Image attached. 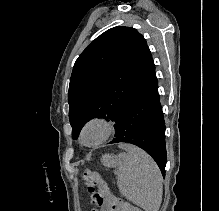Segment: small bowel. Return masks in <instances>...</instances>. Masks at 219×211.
<instances>
[{
	"mask_svg": "<svg viewBox=\"0 0 219 211\" xmlns=\"http://www.w3.org/2000/svg\"><path fill=\"white\" fill-rule=\"evenodd\" d=\"M96 199H97V206L99 207V209L96 211H110V209H109L110 206L107 202L101 201L98 198H96Z\"/></svg>",
	"mask_w": 219,
	"mask_h": 211,
	"instance_id": "small-bowel-1",
	"label": "small bowel"
}]
</instances>
